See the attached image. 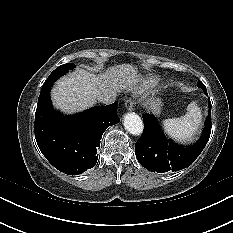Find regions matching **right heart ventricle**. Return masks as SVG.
<instances>
[{
  "label": "right heart ventricle",
  "instance_id": "1",
  "mask_svg": "<svg viewBox=\"0 0 233 233\" xmlns=\"http://www.w3.org/2000/svg\"><path fill=\"white\" fill-rule=\"evenodd\" d=\"M154 83V80H148L147 82H146V86H149V85H152ZM148 84V85H147Z\"/></svg>",
  "mask_w": 233,
  "mask_h": 233
}]
</instances>
